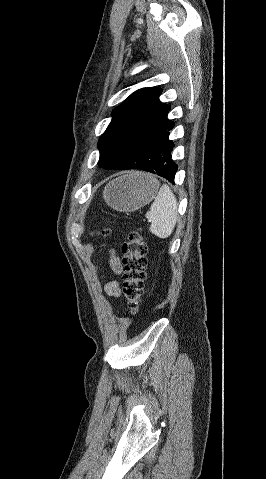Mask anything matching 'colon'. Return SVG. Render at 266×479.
I'll return each mask as SVG.
<instances>
[{"label":"colon","mask_w":266,"mask_h":479,"mask_svg":"<svg viewBox=\"0 0 266 479\" xmlns=\"http://www.w3.org/2000/svg\"><path fill=\"white\" fill-rule=\"evenodd\" d=\"M111 233L105 229L101 232L106 236ZM124 255V278L122 292L128 308L136 312L143 301L147 266V245L144 236L138 231H132L122 244Z\"/></svg>","instance_id":"colon-1"}]
</instances>
